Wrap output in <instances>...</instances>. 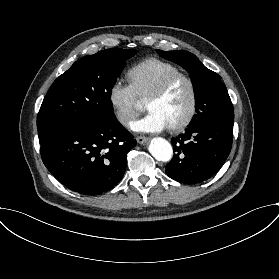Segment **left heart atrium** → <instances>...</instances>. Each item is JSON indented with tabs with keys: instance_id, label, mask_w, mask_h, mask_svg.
<instances>
[{
	"instance_id": "39dd6f15",
	"label": "left heart atrium",
	"mask_w": 279,
	"mask_h": 279,
	"mask_svg": "<svg viewBox=\"0 0 279 279\" xmlns=\"http://www.w3.org/2000/svg\"><path fill=\"white\" fill-rule=\"evenodd\" d=\"M132 129L141 133H159L169 127L168 123L156 112L149 111L146 116L135 121Z\"/></svg>"
}]
</instances>
